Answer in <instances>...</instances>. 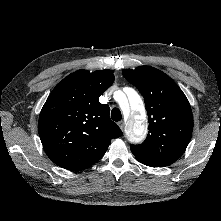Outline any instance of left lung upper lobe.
Segmentation results:
<instances>
[{
  "mask_svg": "<svg viewBox=\"0 0 221 221\" xmlns=\"http://www.w3.org/2000/svg\"><path fill=\"white\" fill-rule=\"evenodd\" d=\"M123 76L143 95L149 118L146 140L131 145L136 160L153 167H165L181 157L193 131L190 104L179 86L162 71L140 66L124 69Z\"/></svg>",
  "mask_w": 221,
  "mask_h": 221,
  "instance_id": "5c2ea615",
  "label": "left lung upper lobe"
}]
</instances>
